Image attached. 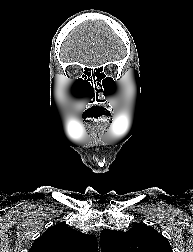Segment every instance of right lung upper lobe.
<instances>
[{
  "label": "right lung upper lobe",
  "instance_id": "cb5924a9",
  "mask_svg": "<svg viewBox=\"0 0 193 252\" xmlns=\"http://www.w3.org/2000/svg\"><path fill=\"white\" fill-rule=\"evenodd\" d=\"M29 252H98V244L94 236L60 223L37 238Z\"/></svg>",
  "mask_w": 193,
  "mask_h": 252
}]
</instances>
